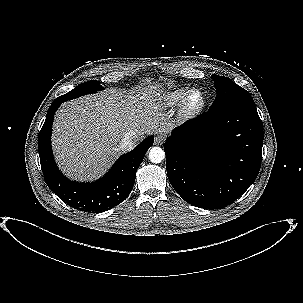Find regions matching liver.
I'll return each mask as SVG.
<instances>
[{
    "label": "liver",
    "instance_id": "1",
    "mask_svg": "<svg viewBox=\"0 0 303 303\" xmlns=\"http://www.w3.org/2000/svg\"><path fill=\"white\" fill-rule=\"evenodd\" d=\"M156 89L110 88L63 103L52 134L62 171L78 180L96 179L123 153L120 143L127 133L136 134L137 144L145 134L170 132L173 124L155 103Z\"/></svg>",
    "mask_w": 303,
    "mask_h": 303
}]
</instances>
